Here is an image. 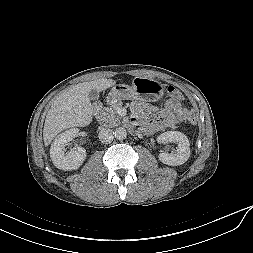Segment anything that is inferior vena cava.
I'll list each match as a JSON object with an SVG mask.
<instances>
[{"label":"inferior vena cava","mask_w":253,"mask_h":253,"mask_svg":"<svg viewBox=\"0 0 253 253\" xmlns=\"http://www.w3.org/2000/svg\"><path fill=\"white\" fill-rule=\"evenodd\" d=\"M98 137L102 143H110L114 139L113 131L110 128L102 127L100 128Z\"/></svg>","instance_id":"obj_1"}]
</instances>
